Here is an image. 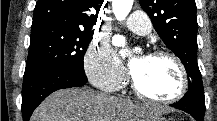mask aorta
<instances>
[{"mask_svg": "<svg viewBox=\"0 0 217 121\" xmlns=\"http://www.w3.org/2000/svg\"><path fill=\"white\" fill-rule=\"evenodd\" d=\"M133 0H113L112 8L118 21H123L131 11Z\"/></svg>", "mask_w": 217, "mask_h": 121, "instance_id": "1", "label": "aorta"}]
</instances>
